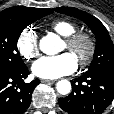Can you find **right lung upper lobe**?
Returning a JSON list of instances; mask_svg holds the SVG:
<instances>
[{"label":"right lung upper lobe","mask_w":114,"mask_h":114,"mask_svg":"<svg viewBox=\"0 0 114 114\" xmlns=\"http://www.w3.org/2000/svg\"><path fill=\"white\" fill-rule=\"evenodd\" d=\"M40 10L42 9L24 7V6H15V7L7 8L1 11L0 16H20V15H24L27 13H34Z\"/></svg>","instance_id":"1"}]
</instances>
